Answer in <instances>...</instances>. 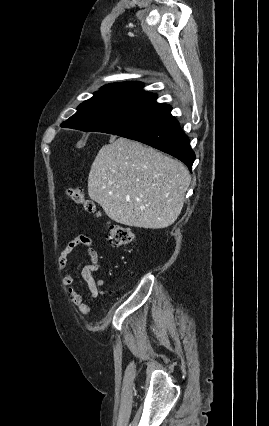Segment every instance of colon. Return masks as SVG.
<instances>
[{
  "label": "colon",
  "instance_id": "1",
  "mask_svg": "<svg viewBox=\"0 0 269 426\" xmlns=\"http://www.w3.org/2000/svg\"><path fill=\"white\" fill-rule=\"evenodd\" d=\"M68 196L83 209L90 213L98 215V210L93 201L86 198L78 187H71L67 191ZM106 235L111 245L115 247H123L129 245L134 240V233L130 228L109 223L106 228Z\"/></svg>",
  "mask_w": 269,
  "mask_h": 426
}]
</instances>
